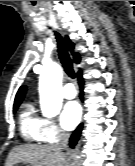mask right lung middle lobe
Segmentation results:
<instances>
[{
  "mask_svg": "<svg viewBox=\"0 0 135 166\" xmlns=\"http://www.w3.org/2000/svg\"><path fill=\"white\" fill-rule=\"evenodd\" d=\"M19 106H14L13 107V112H16Z\"/></svg>",
  "mask_w": 135,
  "mask_h": 166,
  "instance_id": "dd1d6c3e",
  "label": "right lung middle lobe"
}]
</instances>
